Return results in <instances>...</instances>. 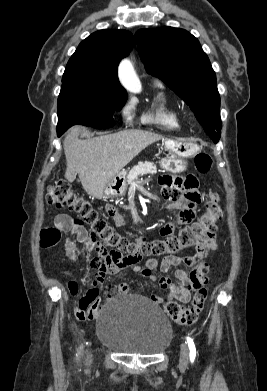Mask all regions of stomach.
Instances as JSON below:
<instances>
[{
  "label": "stomach",
  "mask_w": 267,
  "mask_h": 391,
  "mask_svg": "<svg viewBox=\"0 0 267 391\" xmlns=\"http://www.w3.org/2000/svg\"><path fill=\"white\" fill-rule=\"evenodd\" d=\"M163 146L166 156L159 164L163 171H170L174 174L185 171L187 159L195 156L200 150L196 143L185 140H164ZM126 190L127 171L121 170L107 183L103 190L102 198L121 197L126 193Z\"/></svg>",
  "instance_id": "stomach-1"
}]
</instances>
